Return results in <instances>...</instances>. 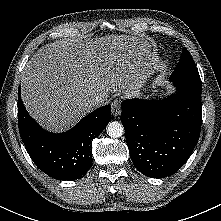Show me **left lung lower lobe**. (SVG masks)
Returning <instances> with one entry per match:
<instances>
[{
	"instance_id": "left-lung-lower-lobe-1",
	"label": "left lung lower lobe",
	"mask_w": 221,
	"mask_h": 221,
	"mask_svg": "<svg viewBox=\"0 0 221 221\" xmlns=\"http://www.w3.org/2000/svg\"><path fill=\"white\" fill-rule=\"evenodd\" d=\"M178 92L160 101L122 103L130 158L138 171L159 178L174 174L199 139L202 122L201 80H172Z\"/></svg>"
}]
</instances>
